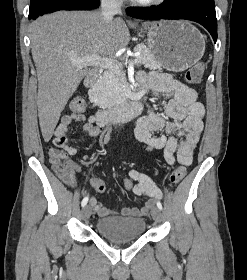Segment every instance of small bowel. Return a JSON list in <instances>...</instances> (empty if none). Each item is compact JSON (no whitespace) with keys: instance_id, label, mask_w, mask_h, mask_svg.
Returning <instances> with one entry per match:
<instances>
[{"instance_id":"c3829d8e","label":"small bowel","mask_w":247,"mask_h":280,"mask_svg":"<svg viewBox=\"0 0 247 280\" xmlns=\"http://www.w3.org/2000/svg\"><path fill=\"white\" fill-rule=\"evenodd\" d=\"M137 79L144 89H150L155 97L168 96L169 100L165 116L150 109L145 117L137 122L135 136L138 141L150 145V150H163L164 158L169 165L179 163L189 166L193 161L194 150L203 130L204 106L197 101L194 89L173 79L169 74L139 72ZM72 122H81V130L87 137H96L101 128L95 117L86 119L83 115H65L61 118L53 132V143L63 148L67 154H76L67 135ZM155 133H161L155 135ZM85 175L81 167L73 164L72 176L62 179L69 187H75V174ZM129 177L133 181L132 190L135 194L149 198L160 196V190L153 180L138 170H131ZM90 185L98 192L104 193L106 187L103 180L90 178ZM90 208L100 217L122 215L140 217L148 213L151 202L141 208L124 207L121 210L110 209L102 205L95 197L89 202Z\"/></svg>"}]
</instances>
